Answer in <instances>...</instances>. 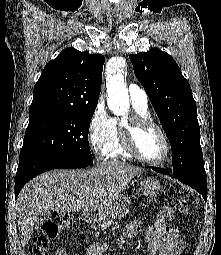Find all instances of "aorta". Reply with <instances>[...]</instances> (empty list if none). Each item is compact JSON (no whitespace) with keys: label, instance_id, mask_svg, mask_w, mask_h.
Returning a JSON list of instances; mask_svg holds the SVG:
<instances>
[{"label":"aorta","instance_id":"762f6f07","mask_svg":"<svg viewBox=\"0 0 221 255\" xmlns=\"http://www.w3.org/2000/svg\"><path fill=\"white\" fill-rule=\"evenodd\" d=\"M107 104L109 109L116 115H122L129 109V95L121 70L109 75L106 82Z\"/></svg>","mask_w":221,"mask_h":255}]
</instances>
